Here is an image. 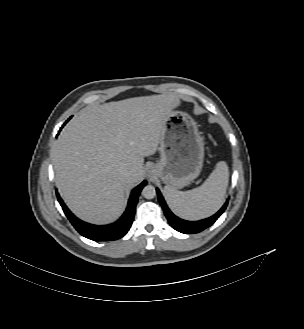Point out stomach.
Segmentation results:
<instances>
[{
  "label": "stomach",
  "mask_w": 304,
  "mask_h": 329,
  "mask_svg": "<svg viewBox=\"0 0 304 329\" xmlns=\"http://www.w3.org/2000/svg\"><path fill=\"white\" fill-rule=\"evenodd\" d=\"M159 151V162L149 170L151 176L159 177L173 189H181L199 176L204 142L189 114L170 112L163 125Z\"/></svg>",
  "instance_id": "stomach-1"
}]
</instances>
